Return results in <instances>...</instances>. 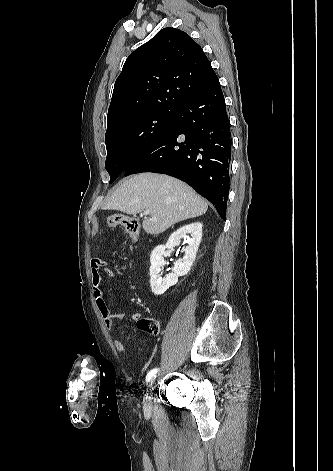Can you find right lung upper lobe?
Returning a JSON list of instances; mask_svg holds the SVG:
<instances>
[{"label":"right lung upper lobe","instance_id":"cb5924a9","mask_svg":"<svg viewBox=\"0 0 333 471\" xmlns=\"http://www.w3.org/2000/svg\"><path fill=\"white\" fill-rule=\"evenodd\" d=\"M217 80L202 48L188 34L161 29L127 58L115 82L107 127L139 112L175 113Z\"/></svg>","mask_w":333,"mask_h":471}]
</instances>
